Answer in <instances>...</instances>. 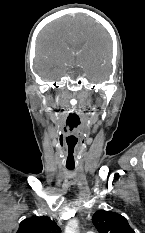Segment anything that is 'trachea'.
<instances>
[{"instance_id": "1", "label": "trachea", "mask_w": 145, "mask_h": 233, "mask_svg": "<svg viewBox=\"0 0 145 233\" xmlns=\"http://www.w3.org/2000/svg\"><path fill=\"white\" fill-rule=\"evenodd\" d=\"M74 169V167H68V170H73Z\"/></svg>"}]
</instances>
